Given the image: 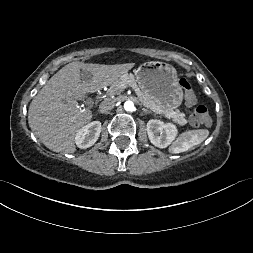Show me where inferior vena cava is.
I'll list each match as a JSON object with an SVG mask.
<instances>
[{"instance_id": "1", "label": "inferior vena cava", "mask_w": 253, "mask_h": 253, "mask_svg": "<svg viewBox=\"0 0 253 253\" xmlns=\"http://www.w3.org/2000/svg\"><path fill=\"white\" fill-rule=\"evenodd\" d=\"M115 100L112 99H107L103 101L100 106H99V111L102 114H107L109 113L115 106Z\"/></svg>"}]
</instances>
